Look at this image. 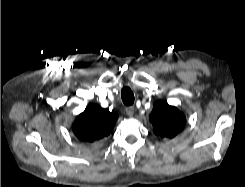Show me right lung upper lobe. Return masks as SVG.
<instances>
[{
    "mask_svg": "<svg viewBox=\"0 0 245 187\" xmlns=\"http://www.w3.org/2000/svg\"><path fill=\"white\" fill-rule=\"evenodd\" d=\"M117 118L114 111L110 112L99 105H90L77 116L73 132L82 141L94 142L111 134Z\"/></svg>",
    "mask_w": 245,
    "mask_h": 187,
    "instance_id": "cb5924a9",
    "label": "right lung upper lobe"
}]
</instances>
